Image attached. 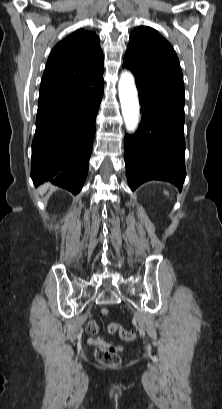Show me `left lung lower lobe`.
Segmentation results:
<instances>
[{
	"label": "left lung lower lobe",
	"instance_id": "1",
	"mask_svg": "<svg viewBox=\"0 0 222 409\" xmlns=\"http://www.w3.org/2000/svg\"><path fill=\"white\" fill-rule=\"evenodd\" d=\"M141 123L125 136V166L131 190L149 180H164L182 188L186 176L184 103L138 87Z\"/></svg>",
	"mask_w": 222,
	"mask_h": 409
}]
</instances>
